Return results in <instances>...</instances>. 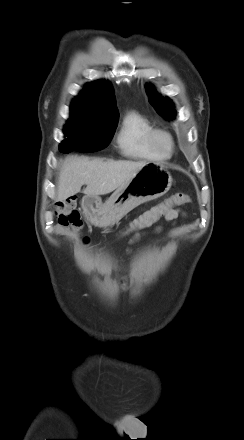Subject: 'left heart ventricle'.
I'll return each mask as SVG.
<instances>
[{"label":"left heart ventricle","mask_w":244,"mask_h":440,"mask_svg":"<svg viewBox=\"0 0 244 440\" xmlns=\"http://www.w3.org/2000/svg\"><path fill=\"white\" fill-rule=\"evenodd\" d=\"M156 142L162 150H168L170 147L169 140L164 136H158Z\"/></svg>","instance_id":"left-heart-ventricle-1"}]
</instances>
